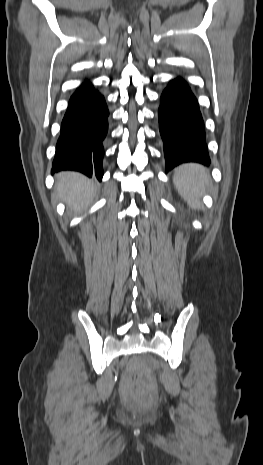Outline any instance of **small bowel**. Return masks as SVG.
Returning a JSON list of instances; mask_svg holds the SVG:
<instances>
[{"instance_id": "c3829d8e", "label": "small bowel", "mask_w": 263, "mask_h": 465, "mask_svg": "<svg viewBox=\"0 0 263 465\" xmlns=\"http://www.w3.org/2000/svg\"><path fill=\"white\" fill-rule=\"evenodd\" d=\"M132 371L133 369L129 370V372L125 375L123 382H122L121 390H122V394L124 397H127L129 395L131 388H132V384H131V372ZM138 376L140 375H137V377Z\"/></svg>"}]
</instances>
